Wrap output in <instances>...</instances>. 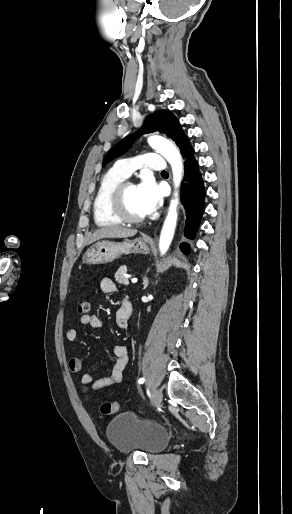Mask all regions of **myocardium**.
<instances>
[{
  "label": "myocardium",
  "mask_w": 292,
  "mask_h": 514,
  "mask_svg": "<svg viewBox=\"0 0 292 514\" xmlns=\"http://www.w3.org/2000/svg\"><path fill=\"white\" fill-rule=\"evenodd\" d=\"M135 186L131 181H123L110 190L107 195L108 212L119 222L138 224L145 220L147 213L141 216H131L127 214L123 207V194L128 187Z\"/></svg>",
  "instance_id": "myocardium-1"
}]
</instances>
